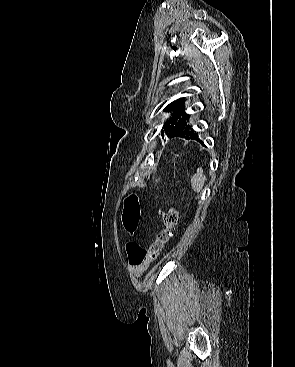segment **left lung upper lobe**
<instances>
[{
    "label": "left lung upper lobe",
    "instance_id": "left-lung-upper-lobe-1",
    "mask_svg": "<svg viewBox=\"0 0 295 367\" xmlns=\"http://www.w3.org/2000/svg\"><path fill=\"white\" fill-rule=\"evenodd\" d=\"M164 111L171 112L173 111V116L167 120L163 126L164 130H161L162 136L171 137L173 132L176 130V128L184 121V119L187 117V114L185 113V107H184V98H180L172 103H170Z\"/></svg>",
    "mask_w": 295,
    "mask_h": 367
}]
</instances>
